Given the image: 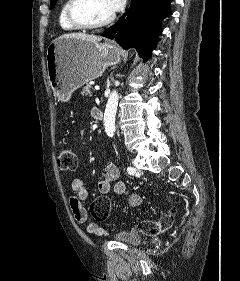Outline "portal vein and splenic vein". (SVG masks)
<instances>
[{
    "label": "portal vein and splenic vein",
    "instance_id": "18ae733b",
    "mask_svg": "<svg viewBox=\"0 0 240 281\" xmlns=\"http://www.w3.org/2000/svg\"><path fill=\"white\" fill-rule=\"evenodd\" d=\"M100 88L97 86V87H95V90H99Z\"/></svg>",
    "mask_w": 240,
    "mask_h": 281
}]
</instances>
